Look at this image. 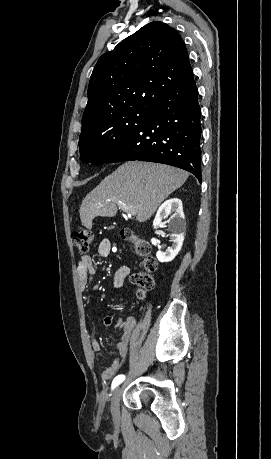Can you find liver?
Masks as SVG:
<instances>
[{"label": "liver", "mask_w": 271, "mask_h": 459, "mask_svg": "<svg viewBox=\"0 0 271 459\" xmlns=\"http://www.w3.org/2000/svg\"><path fill=\"white\" fill-rule=\"evenodd\" d=\"M188 176V172L163 164L126 162L84 198L79 210L82 226L91 229L96 216L112 218L116 204L134 208L136 220L146 222Z\"/></svg>", "instance_id": "6515ba94"}]
</instances>
